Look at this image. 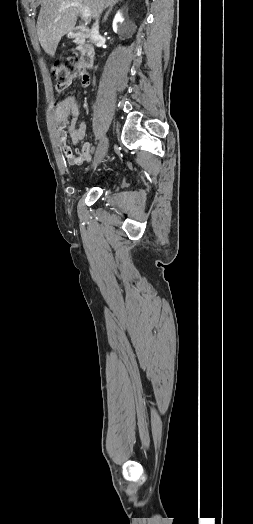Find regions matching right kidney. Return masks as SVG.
I'll return each mask as SVG.
<instances>
[{
    "mask_svg": "<svg viewBox=\"0 0 253 524\" xmlns=\"http://www.w3.org/2000/svg\"><path fill=\"white\" fill-rule=\"evenodd\" d=\"M123 18L120 11H118L113 20V30L115 33H123Z\"/></svg>",
    "mask_w": 253,
    "mask_h": 524,
    "instance_id": "ca27d5eb",
    "label": "right kidney"
}]
</instances>
